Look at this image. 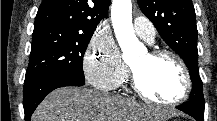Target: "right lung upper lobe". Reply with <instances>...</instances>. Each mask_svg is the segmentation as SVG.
Here are the masks:
<instances>
[{"mask_svg":"<svg viewBox=\"0 0 217 121\" xmlns=\"http://www.w3.org/2000/svg\"><path fill=\"white\" fill-rule=\"evenodd\" d=\"M108 7L109 0H43L34 27L56 24L80 31H95Z\"/></svg>","mask_w":217,"mask_h":121,"instance_id":"1","label":"right lung upper lobe"}]
</instances>
